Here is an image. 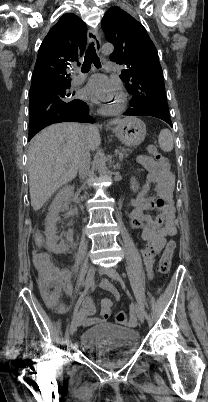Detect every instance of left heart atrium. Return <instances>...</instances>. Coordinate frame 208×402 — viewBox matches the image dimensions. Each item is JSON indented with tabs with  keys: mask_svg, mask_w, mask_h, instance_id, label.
<instances>
[{
	"mask_svg": "<svg viewBox=\"0 0 208 402\" xmlns=\"http://www.w3.org/2000/svg\"><path fill=\"white\" fill-rule=\"evenodd\" d=\"M116 91L115 84L105 75H93L81 88L79 94L85 101L109 100Z\"/></svg>",
	"mask_w": 208,
	"mask_h": 402,
	"instance_id": "39dd6f15",
	"label": "left heart atrium"
}]
</instances>
